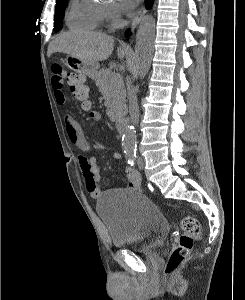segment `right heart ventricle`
Masks as SVG:
<instances>
[{"mask_svg": "<svg viewBox=\"0 0 245 300\" xmlns=\"http://www.w3.org/2000/svg\"><path fill=\"white\" fill-rule=\"evenodd\" d=\"M103 20L102 7L94 0H72L66 23L74 30H96Z\"/></svg>", "mask_w": 245, "mask_h": 300, "instance_id": "e07e8e85", "label": "right heart ventricle"}]
</instances>
